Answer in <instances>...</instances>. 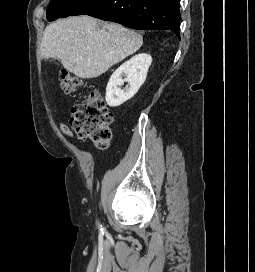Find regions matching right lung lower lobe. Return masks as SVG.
<instances>
[{
  "mask_svg": "<svg viewBox=\"0 0 255 272\" xmlns=\"http://www.w3.org/2000/svg\"><path fill=\"white\" fill-rule=\"evenodd\" d=\"M180 0H90L71 14L90 15L133 29L171 30L180 37Z\"/></svg>",
  "mask_w": 255,
  "mask_h": 272,
  "instance_id": "98d812e1",
  "label": "right lung lower lobe"
}]
</instances>
